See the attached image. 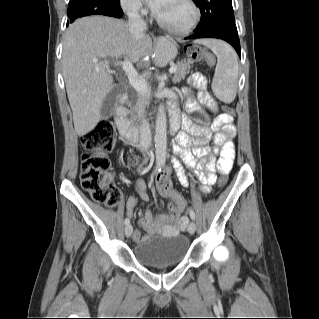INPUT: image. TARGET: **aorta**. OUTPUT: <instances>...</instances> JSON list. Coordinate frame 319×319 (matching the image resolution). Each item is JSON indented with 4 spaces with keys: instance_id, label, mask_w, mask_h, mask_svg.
Segmentation results:
<instances>
[{
    "instance_id": "obj_1",
    "label": "aorta",
    "mask_w": 319,
    "mask_h": 319,
    "mask_svg": "<svg viewBox=\"0 0 319 319\" xmlns=\"http://www.w3.org/2000/svg\"><path fill=\"white\" fill-rule=\"evenodd\" d=\"M155 155L157 165L162 166L166 162L167 150V125L164 105H160L155 123Z\"/></svg>"
}]
</instances>
